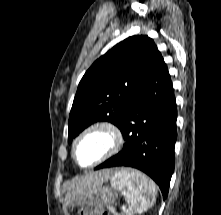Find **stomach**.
Here are the masks:
<instances>
[{
	"instance_id": "stomach-1",
	"label": "stomach",
	"mask_w": 221,
	"mask_h": 215,
	"mask_svg": "<svg viewBox=\"0 0 221 215\" xmlns=\"http://www.w3.org/2000/svg\"><path fill=\"white\" fill-rule=\"evenodd\" d=\"M117 198V192L108 186L98 184L82 189H69L65 193V204L69 208L79 206L110 207Z\"/></svg>"
}]
</instances>
